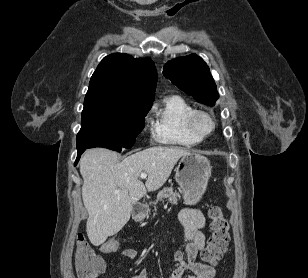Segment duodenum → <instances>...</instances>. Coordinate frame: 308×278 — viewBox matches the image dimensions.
Here are the masks:
<instances>
[{"mask_svg": "<svg viewBox=\"0 0 308 278\" xmlns=\"http://www.w3.org/2000/svg\"><path fill=\"white\" fill-rule=\"evenodd\" d=\"M147 209H148L147 204L144 202L136 204L133 210V218L136 221L142 220L147 212Z\"/></svg>", "mask_w": 308, "mask_h": 278, "instance_id": "duodenum-1", "label": "duodenum"}]
</instances>
